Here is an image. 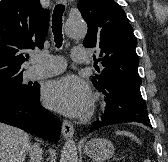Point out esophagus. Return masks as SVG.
<instances>
[{
	"mask_svg": "<svg viewBox=\"0 0 168 162\" xmlns=\"http://www.w3.org/2000/svg\"><path fill=\"white\" fill-rule=\"evenodd\" d=\"M56 1L57 3H61V4H66L67 2V0H56ZM62 135L65 139L72 138L74 135L73 124L68 120H64L62 122Z\"/></svg>",
	"mask_w": 168,
	"mask_h": 162,
	"instance_id": "obj_1",
	"label": "esophagus"
}]
</instances>
